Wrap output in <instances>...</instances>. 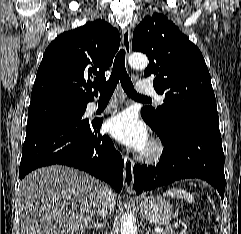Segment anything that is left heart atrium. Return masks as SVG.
Returning <instances> with one entry per match:
<instances>
[{"instance_id": "1", "label": "left heart atrium", "mask_w": 241, "mask_h": 234, "mask_svg": "<svg viewBox=\"0 0 241 234\" xmlns=\"http://www.w3.org/2000/svg\"><path fill=\"white\" fill-rule=\"evenodd\" d=\"M108 132L119 142L143 151L148 145L147 128L131 110L122 111L107 122Z\"/></svg>"}]
</instances>
